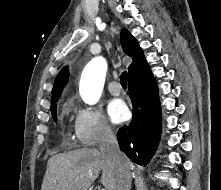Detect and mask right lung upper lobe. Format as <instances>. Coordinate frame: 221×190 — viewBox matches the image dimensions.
<instances>
[{"label": "right lung upper lobe", "instance_id": "cb5924a9", "mask_svg": "<svg viewBox=\"0 0 221 190\" xmlns=\"http://www.w3.org/2000/svg\"><path fill=\"white\" fill-rule=\"evenodd\" d=\"M120 40L124 52L133 59L132 64L128 67L129 81L145 78L146 76L152 74L144 57L142 48L139 46L137 40L129 33V31L122 29ZM67 82L68 68L64 67L55 78L51 102L58 100Z\"/></svg>", "mask_w": 221, "mask_h": 190}]
</instances>
